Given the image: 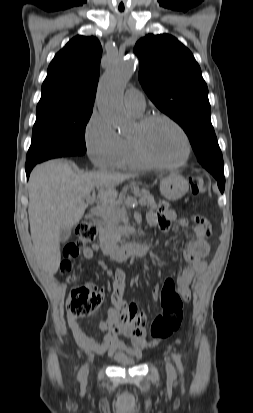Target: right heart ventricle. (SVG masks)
Returning a JSON list of instances; mask_svg holds the SVG:
<instances>
[{
	"instance_id": "1",
	"label": "right heart ventricle",
	"mask_w": 253,
	"mask_h": 413,
	"mask_svg": "<svg viewBox=\"0 0 253 413\" xmlns=\"http://www.w3.org/2000/svg\"><path fill=\"white\" fill-rule=\"evenodd\" d=\"M140 118L142 114H134ZM114 166L117 168H145L146 165L136 152L132 137L121 136V148Z\"/></svg>"
}]
</instances>
